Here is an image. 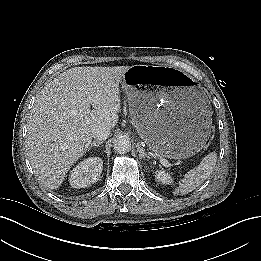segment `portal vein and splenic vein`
I'll list each match as a JSON object with an SVG mask.
<instances>
[{
  "label": "portal vein and splenic vein",
  "instance_id": "1",
  "mask_svg": "<svg viewBox=\"0 0 261 261\" xmlns=\"http://www.w3.org/2000/svg\"><path fill=\"white\" fill-rule=\"evenodd\" d=\"M160 161L162 162V164L164 166H168L169 165V162L165 158H163V157H160Z\"/></svg>",
  "mask_w": 261,
  "mask_h": 261
}]
</instances>
